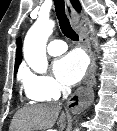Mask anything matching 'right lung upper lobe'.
Listing matches in <instances>:
<instances>
[{"instance_id": "right-lung-upper-lobe-1", "label": "right lung upper lobe", "mask_w": 117, "mask_h": 131, "mask_svg": "<svg viewBox=\"0 0 117 131\" xmlns=\"http://www.w3.org/2000/svg\"><path fill=\"white\" fill-rule=\"evenodd\" d=\"M73 7L79 12L81 10V5L78 0H71ZM22 59V41L20 38L17 39V50H16V60H15V67L14 73H16L19 64L21 63Z\"/></svg>"}]
</instances>
